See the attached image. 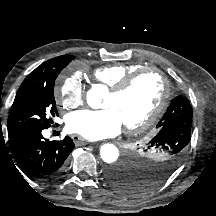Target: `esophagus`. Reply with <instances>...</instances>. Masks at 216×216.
I'll return each mask as SVG.
<instances>
[{"mask_svg":"<svg viewBox=\"0 0 216 216\" xmlns=\"http://www.w3.org/2000/svg\"><path fill=\"white\" fill-rule=\"evenodd\" d=\"M72 139H73V141H74L75 144L85 145V144L88 143L87 140H85L82 136L77 135V134L72 135Z\"/></svg>","mask_w":216,"mask_h":216,"instance_id":"esophagus-1","label":"esophagus"}]
</instances>
